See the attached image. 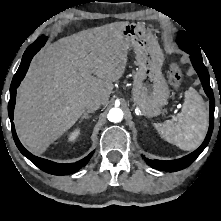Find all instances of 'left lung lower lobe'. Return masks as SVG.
I'll return each instance as SVG.
<instances>
[{"instance_id":"1","label":"left lung lower lobe","mask_w":221,"mask_h":221,"mask_svg":"<svg viewBox=\"0 0 221 221\" xmlns=\"http://www.w3.org/2000/svg\"><path fill=\"white\" fill-rule=\"evenodd\" d=\"M190 59H191V62L193 64L196 72L199 75V78L201 80V83L203 85L205 93L210 98L209 130H208L207 136H206L203 144L197 150H195L194 152H192L191 154H189L183 158L171 160V161H161V160H154L153 161V160L143 157L145 159V161L147 162V164H149L151 167L158 169V170L175 172V171L184 169V168L188 167L189 165H191L194 162V160L201 154V152L207 146V144L210 140L212 131H213L215 102H214V95H213V92H212V89H211L210 83H209V74H208L207 68L203 64L202 58H198L194 55H190Z\"/></svg>"}]
</instances>
